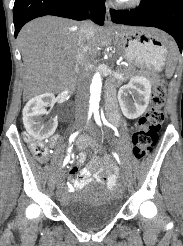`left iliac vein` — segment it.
<instances>
[{
	"label": "left iliac vein",
	"mask_w": 183,
	"mask_h": 246,
	"mask_svg": "<svg viewBox=\"0 0 183 246\" xmlns=\"http://www.w3.org/2000/svg\"><path fill=\"white\" fill-rule=\"evenodd\" d=\"M89 131L92 132V134L94 136H96V137L98 136V133L92 127H89ZM122 181H123L122 187H123V189H125L126 188V181L124 178L122 179Z\"/></svg>",
	"instance_id": "1"
}]
</instances>
